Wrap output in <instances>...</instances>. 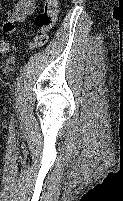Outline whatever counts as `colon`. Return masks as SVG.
<instances>
[{"label": "colon", "instance_id": "5ec220e1", "mask_svg": "<svg viewBox=\"0 0 123 201\" xmlns=\"http://www.w3.org/2000/svg\"><path fill=\"white\" fill-rule=\"evenodd\" d=\"M57 15L58 1L44 0L41 11L35 16L37 31L34 38L28 42V48L30 50L43 47L47 43L48 34L57 20ZM15 50V45L0 40V53H7Z\"/></svg>", "mask_w": 123, "mask_h": 201}]
</instances>
